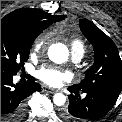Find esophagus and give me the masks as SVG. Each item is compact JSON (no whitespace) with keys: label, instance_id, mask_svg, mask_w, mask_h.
<instances>
[{"label":"esophagus","instance_id":"1","mask_svg":"<svg viewBox=\"0 0 122 122\" xmlns=\"http://www.w3.org/2000/svg\"><path fill=\"white\" fill-rule=\"evenodd\" d=\"M42 91L47 92V93H51V94L57 92L55 89H52V88L47 87V86H44V87L42 88Z\"/></svg>","mask_w":122,"mask_h":122}]
</instances>
